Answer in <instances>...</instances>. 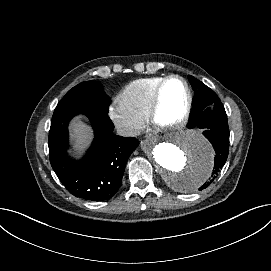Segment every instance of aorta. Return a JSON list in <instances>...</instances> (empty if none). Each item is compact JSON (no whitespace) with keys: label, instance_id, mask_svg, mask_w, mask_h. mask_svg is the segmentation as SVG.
<instances>
[{"label":"aorta","instance_id":"aorta-1","mask_svg":"<svg viewBox=\"0 0 271 271\" xmlns=\"http://www.w3.org/2000/svg\"><path fill=\"white\" fill-rule=\"evenodd\" d=\"M143 149L155 171L178 192H195L213 170V147L194 130L171 132L162 140L146 141Z\"/></svg>","mask_w":271,"mask_h":271}]
</instances>
